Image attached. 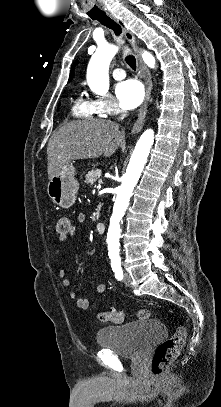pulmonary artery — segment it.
I'll return each instance as SVG.
<instances>
[{
	"label": "pulmonary artery",
	"mask_w": 221,
	"mask_h": 407,
	"mask_svg": "<svg viewBox=\"0 0 221 407\" xmlns=\"http://www.w3.org/2000/svg\"><path fill=\"white\" fill-rule=\"evenodd\" d=\"M112 75H113V77H114L116 80H122V79L125 78L126 72H125V70L122 69V68H115V69L113 70V72H112Z\"/></svg>",
	"instance_id": "e3ab8cb5"
}]
</instances>
